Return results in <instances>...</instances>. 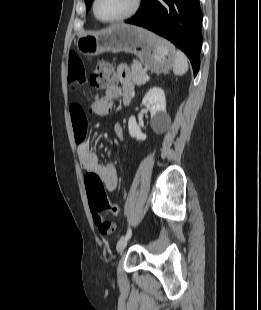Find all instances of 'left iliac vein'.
Returning <instances> with one entry per match:
<instances>
[{"label":"left iliac vein","mask_w":261,"mask_h":310,"mask_svg":"<svg viewBox=\"0 0 261 310\" xmlns=\"http://www.w3.org/2000/svg\"><path fill=\"white\" fill-rule=\"evenodd\" d=\"M128 241H129V239H126L125 236L120 238V240L117 243V247H116L117 251L119 253L122 252L125 249V247L127 246Z\"/></svg>","instance_id":"4c4485c4"}]
</instances>
